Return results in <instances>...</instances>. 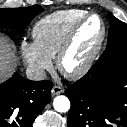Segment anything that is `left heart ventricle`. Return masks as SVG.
<instances>
[{"label": "left heart ventricle", "instance_id": "obj_1", "mask_svg": "<svg viewBox=\"0 0 127 127\" xmlns=\"http://www.w3.org/2000/svg\"><path fill=\"white\" fill-rule=\"evenodd\" d=\"M101 31L102 25L97 17L89 18L81 26L65 60L67 69H75L84 63L97 44Z\"/></svg>", "mask_w": 127, "mask_h": 127}]
</instances>
